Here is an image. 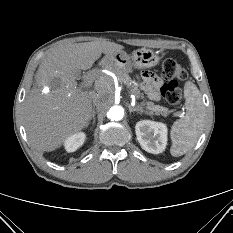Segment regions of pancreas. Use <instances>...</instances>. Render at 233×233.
I'll list each match as a JSON object with an SVG mask.
<instances>
[{"label":"pancreas","mask_w":233,"mask_h":233,"mask_svg":"<svg viewBox=\"0 0 233 233\" xmlns=\"http://www.w3.org/2000/svg\"><path fill=\"white\" fill-rule=\"evenodd\" d=\"M117 78L119 80V82L126 84L127 88L129 89V92L131 94H134L136 96V98H142L144 99V95L143 93H141L140 89H139V85L135 80H132L131 77L124 73L123 71L119 70V69H114ZM142 105L146 106V109L148 110V113L150 115H167L169 113L168 109L159 105H155L153 102L151 101H145L143 100Z\"/></svg>","instance_id":"obj_1"}]
</instances>
